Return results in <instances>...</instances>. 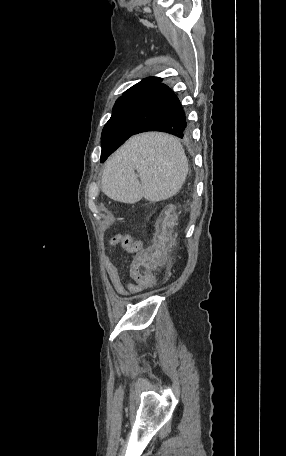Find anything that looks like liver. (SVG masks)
I'll use <instances>...</instances> for the list:
<instances>
[{"label": "liver", "mask_w": 286, "mask_h": 456, "mask_svg": "<svg viewBox=\"0 0 286 456\" xmlns=\"http://www.w3.org/2000/svg\"><path fill=\"white\" fill-rule=\"evenodd\" d=\"M187 173L188 161L180 141L166 133L147 132L130 138L108 160L102 192L127 204L142 198L159 202L178 193Z\"/></svg>", "instance_id": "obj_1"}]
</instances>
